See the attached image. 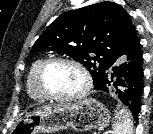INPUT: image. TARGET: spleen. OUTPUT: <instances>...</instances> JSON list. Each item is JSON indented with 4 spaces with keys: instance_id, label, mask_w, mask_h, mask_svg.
<instances>
[{
    "instance_id": "spleen-1",
    "label": "spleen",
    "mask_w": 153,
    "mask_h": 134,
    "mask_svg": "<svg viewBox=\"0 0 153 134\" xmlns=\"http://www.w3.org/2000/svg\"><path fill=\"white\" fill-rule=\"evenodd\" d=\"M113 134H133V122L128 108L120 106L114 113Z\"/></svg>"
}]
</instances>
